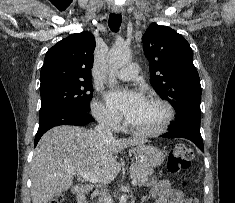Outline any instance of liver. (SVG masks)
<instances>
[{"label": "liver", "mask_w": 235, "mask_h": 203, "mask_svg": "<svg viewBox=\"0 0 235 203\" xmlns=\"http://www.w3.org/2000/svg\"><path fill=\"white\" fill-rule=\"evenodd\" d=\"M142 138L106 140L95 130L77 126H57L47 131L35 148L31 162L32 203H48L71 188L74 173H94L107 184L120 171L113 154L128 146H140ZM95 183L76 185L73 193H88Z\"/></svg>", "instance_id": "1"}]
</instances>
